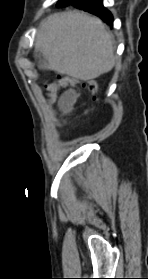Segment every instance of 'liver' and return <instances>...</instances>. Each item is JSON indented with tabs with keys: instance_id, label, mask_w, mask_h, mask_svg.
I'll return each mask as SVG.
<instances>
[{
	"instance_id": "liver-1",
	"label": "liver",
	"mask_w": 148,
	"mask_h": 279,
	"mask_svg": "<svg viewBox=\"0 0 148 279\" xmlns=\"http://www.w3.org/2000/svg\"><path fill=\"white\" fill-rule=\"evenodd\" d=\"M35 51L48 59L47 69L83 81L93 80L115 65L113 41L105 25L77 11L47 17L38 30Z\"/></svg>"
}]
</instances>
